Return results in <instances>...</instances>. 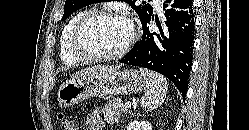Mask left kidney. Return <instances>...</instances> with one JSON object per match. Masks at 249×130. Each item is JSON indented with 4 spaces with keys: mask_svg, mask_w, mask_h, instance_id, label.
<instances>
[{
    "mask_svg": "<svg viewBox=\"0 0 249 130\" xmlns=\"http://www.w3.org/2000/svg\"><path fill=\"white\" fill-rule=\"evenodd\" d=\"M127 130H152V126L148 121H133L131 122Z\"/></svg>",
    "mask_w": 249,
    "mask_h": 130,
    "instance_id": "5707ae66",
    "label": "left kidney"
}]
</instances>
